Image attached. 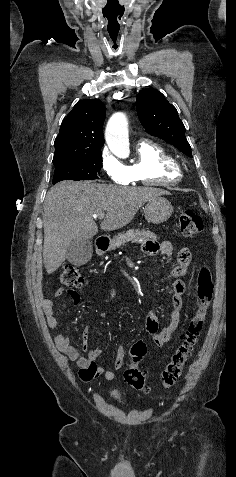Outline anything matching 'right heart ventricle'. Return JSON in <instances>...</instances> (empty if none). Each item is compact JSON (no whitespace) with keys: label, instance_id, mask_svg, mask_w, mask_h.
<instances>
[{"label":"right heart ventricle","instance_id":"e07e8e85","mask_svg":"<svg viewBox=\"0 0 236 477\" xmlns=\"http://www.w3.org/2000/svg\"><path fill=\"white\" fill-rule=\"evenodd\" d=\"M174 165L173 169H165ZM130 182L127 185H173L181 180L180 170L173 156L160 144L140 141L136 146V159L127 166Z\"/></svg>","mask_w":236,"mask_h":477}]
</instances>
